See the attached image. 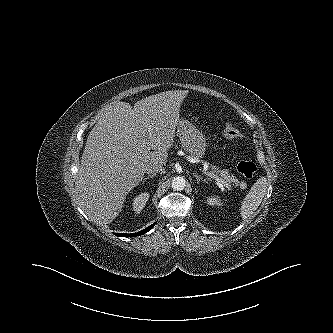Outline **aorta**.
<instances>
[{
  "label": "aorta",
  "mask_w": 333,
  "mask_h": 333,
  "mask_svg": "<svg viewBox=\"0 0 333 333\" xmlns=\"http://www.w3.org/2000/svg\"><path fill=\"white\" fill-rule=\"evenodd\" d=\"M185 185H186V181L183 177H175L173 180H172V188L176 191H181L185 188Z\"/></svg>",
  "instance_id": "1"
}]
</instances>
